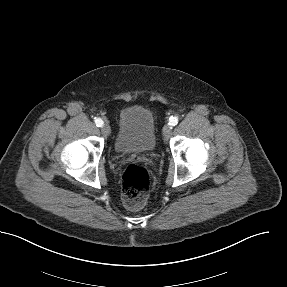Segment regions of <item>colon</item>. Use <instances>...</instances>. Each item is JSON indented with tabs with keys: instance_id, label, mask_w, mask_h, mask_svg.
<instances>
[{
	"instance_id": "colon-1",
	"label": "colon",
	"mask_w": 287,
	"mask_h": 287,
	"mask_svg": "<svg viewBox=\"0 0 287 287\" xmlns=\"http://www.w3.org/2000/svg\"><path fill=\"white\" fill-rule=\"evenodd\" d=\"M150 174L139 164L128 165L122 174V197L125 206L132 210L142 208L148 198Z\"/></svg>"
}]
</instances>
